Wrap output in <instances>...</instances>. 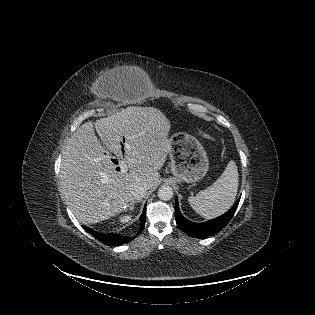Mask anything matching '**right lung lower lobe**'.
<instances>
[{
    "instance_id": "98d812e1",
    "label": "right lung lower lobe",
    "mask_w": 315,
    "mask_h": 315,
    "mask_svg": "<svg viewBox=\"0 0 315 315\" xmlns=\"http://www.w3.org/2000/svg\"><path fill=\"white\" fill-rule=\"evenodd\" d=\"M145 219H146V209L144 207V210H143L142 215L140 217L141 227H140L139 233L142 232V230L145 226ZM83 228L88 233H90L92 236H94L97 240L101 241L104 244L110 245V246H118V245H122L124 243H128L137 236L136 235L134 237H122L121 235H119L117 233L103 234V233L95 232L92 229L85 227V226H83Z\"/></svg>"
}]
</instances>
